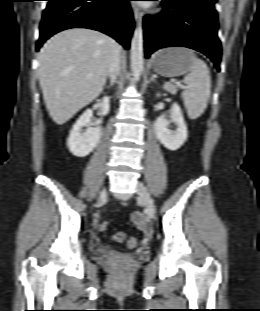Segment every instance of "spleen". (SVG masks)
Wrapping results in <instances>:
<instances>
[{
    "label": "spleen",
    "instance_id": "obj_1",
    "mask_svg": "<svg viewBox=\"0 0 260 311\" xmlns=\"http://www.w3.org/2000/svg\"><path fill=\"white\" fill-rule=\"evenodd\" d=\"M184 83L187 85L182 92L184 105L189 118L196 119L205 111L210 97L211 78L207 64L195 58L191 71L184 77Z\"/></svg>",
    "mask_w": 260,
    "mask_h": 311
}]
</instances>
